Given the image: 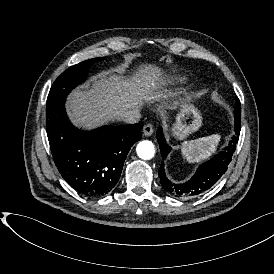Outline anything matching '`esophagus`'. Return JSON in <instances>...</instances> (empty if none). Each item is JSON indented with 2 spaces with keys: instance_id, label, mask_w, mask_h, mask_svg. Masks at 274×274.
<instances>
[{
  "instance_id": "34e87169",
  "label": "esophagus",
  "mask_w": 274,
  "mask_h": 274,
  "mask_svg": "<svg viewBox=\"0 0 274 274\" xmlns=\"http://www.w3.org/2000/svg\"><path fill=\"white\" fill-rule=\"evenodd\" d=\"M154 127L152 124H146L143 128V134L145 137H149L153 134Z\"/></svg>"
}]
</instances>
